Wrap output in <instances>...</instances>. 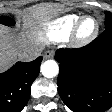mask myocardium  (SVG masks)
<instances>
[{
  "instance_id": "1",
  "label": "myocardium",
  "mask_w": 112,
  "mask_h": 112,
  "mask_svg": "<svg viewBox=\"0 0 112 112\" xmlns=\"http://www.w3.org/2000/svg\"><path fill=\"white\" fill-rule=\"evenodd\" d=\"M88 19H92L95 22V28L93 32L88 36H81L80 35L81 26ZM99 31H100V24L98 20L93 16L85 15L82 16L74 25L71 34L69 36V41L71 45L74 47H84L93 42L97 38Z\"/></svg>"
}]
</instances>
